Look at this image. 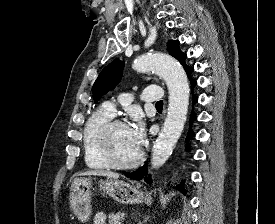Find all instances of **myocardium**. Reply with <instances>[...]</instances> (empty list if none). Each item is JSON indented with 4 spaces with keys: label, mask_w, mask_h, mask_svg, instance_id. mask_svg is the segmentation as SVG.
Here are the masks:
<instances>
[{
    "label": "myocardium",
    "mask_w": 275,
    "mask_h": 224,
    "mask_svg": "<svg viewBox=\"0 0 275 224\" xmlns=\"http://www.w3.org/2000/svg\"><path fill=\"white\" fill-rule=\"evenodd\" d=\"M119 125L127 126L123 120L118 118H110L104 122L97 131L96 145L100 155L109 167L115 169H131L142 162L143 151L139 148L137 156L131 161L119 162L116 160L111 149L110 132L115 126Z\"/></svg>",
    "instance_id": "1"
}]
</instances>
